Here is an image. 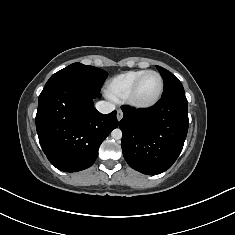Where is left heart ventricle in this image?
<instances>
[{
    "label": "left heart ventricle",
    "instance_id": "b2bd125f",
    "mask_svg": "<svg viewBox=\"0 0 235 235\" xmlns=\"http://www.w3.org/2000/svg\"><path fill=\"white\" fill-rule=\"evenodd\" d=\"M160 87L159 78L151 73L146 75L140 82L135 99L139 102H148L156 97Z\"/></svg>",
    "mask_w": 235,
    "mask_h": 235
}]
</instances>
